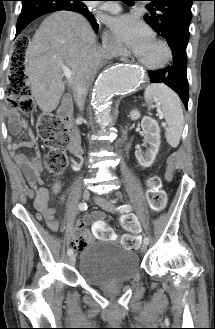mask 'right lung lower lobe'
<instances>
[{"instance_id": "obj_1", "label": "right lung lower lobe", "mask_w": 215, "mask_h": 329, "mask_svg": "<svg viewBox=\"0 0 215 329\" xmlns=\"http://www.w3.org/2000/svg\"><path fill=\"white\" fill-rule=\"evenodd\" d=\"M22 10L18 17L16 26V36L33 20L47 13L67 10L83 15L92 25L95 31L99 25L91 11L83 4V0H21ZM16 67L22 65L16 62Z\"/></svg>"}]
</instances>
